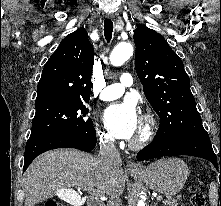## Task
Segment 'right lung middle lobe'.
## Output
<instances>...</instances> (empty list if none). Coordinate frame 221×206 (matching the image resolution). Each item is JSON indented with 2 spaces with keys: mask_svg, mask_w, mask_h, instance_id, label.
Segmentation results:
<instances>
[{
  "mask_svg": "<svg viewBox=\"0 0 221 206\" xmlns=\"http://www.w3.org/2000/svg\"><path fill=\"white\" fill-rule=\"evenodd\" d=\"M88 109L80 103H51L36 107L30 138L53 133L92 131Z\"/></svg>",
  "mask_w": 221,
  "mask_h": 206,
  "instance_id": "obj_1",
  "label": "right lung middle lobe"
}]
</instances>
